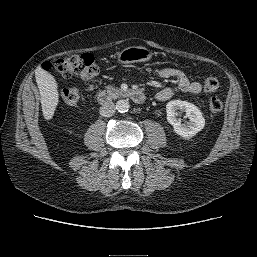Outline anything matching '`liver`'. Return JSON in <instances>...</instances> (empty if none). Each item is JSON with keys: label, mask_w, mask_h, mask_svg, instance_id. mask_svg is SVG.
Wrapping results in <instances>:
<instances>
[{"label": "liver", "mask_w": 257, "mask_h": 257, "mask_svg": "<svg viewBox=\"0 0 257 257\" xmlns=\"http://www.w3.org/2000/svg\"><path fill=\"white\" fill-rule=\"evenodd\" d=\"M41 97L42 113L46 120H50L59 102L58 85L53 75L38 68L35 74Z\"/></svg>", "instance_id": "6515ba94"}]
</instances>
